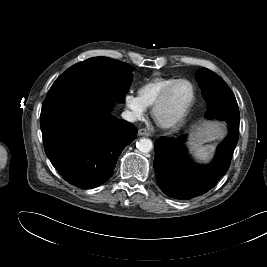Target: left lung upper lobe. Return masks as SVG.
I'll use <instances>...</instances> for the list:
<instances>
[{
    "label": "left lung upper lobe",
    "mask_w": 267,
    "mask_h": 267,
    "mask_svg": "<svg viewBox=\"0 0 267 267\" xmlns=\"http://www.w3.org/2000/svg\"><path fill=\"white\" fill-rule=\"evenodd\" d=\"M196 80L208 105L206 117L214 116L219 111H229L231 108L238 109L233 92L217 74L202 68L196 73Z\"/></svg>",
    "instance_id": "1"
}]
</instances>
